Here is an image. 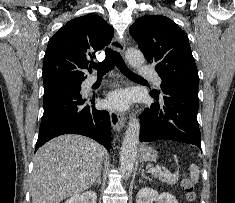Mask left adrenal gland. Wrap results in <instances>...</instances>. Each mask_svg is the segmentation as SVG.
Returning <instances> with one entry per match:
<instances>
[{
	"mask_svg": "<svg viewBox=\"0 0 235 203\" xmlns=\"http://www.w3.org/2000/svg\"><path fill=\"white\" fill-rule=\"evenodd\" d=\"M143 177H144V173H143V171H142V173H141V178H140V180H139V183H140V182H143V179H142Z\"/></svg>",
	"mask_w": 235,
	"mask_h": 203,
	"instance_id": "left-adrenal-gland-1",
	"label": "left adrenal gland"
}]
</instances>
